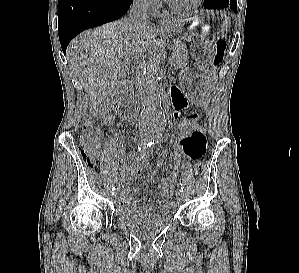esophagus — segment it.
Listing matches in <instances>:
<instances>
[{
    "mask_svg": "<svg viewBox=\"0 0 299 273\" xmlns=\"http://www.w3.org/2000/svg\"><path fill=\"white\" fill-rule=\"evenodd\" d=\"M160 22L161 23H167V20L166 19H161Z\"/></svg>",
    "mask_w": 299,
    "mask_h": 273,
    "instance_id": "1",
    "label": "esophagus"
}]
</instances>
